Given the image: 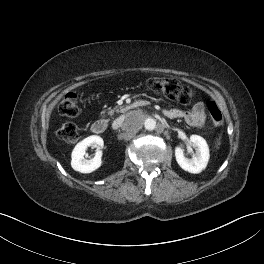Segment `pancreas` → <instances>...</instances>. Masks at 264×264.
Instances as JSON below:
<instances>
[{"label":"pancreas","instance_id":"1","mask_svg":"<svg viewBox=\"0 0 264 264\" xmlns=\"http://www.w3.org/2000/svg\"><path fill=\"white\" fill-rule=\"evenodd\" d=\"M114 112H121V111L118 110V109H111V110L108 111V114H109V115H113ZM102 114H105V111H103Z\"/></svg>","mask_w":264,"mask_h":264}]
</instances>
